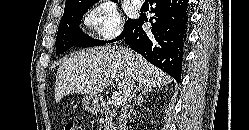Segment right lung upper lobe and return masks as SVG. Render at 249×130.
<instances>
[{
    "label": "right lung upper lobe",
    "instance_id": "right-lung-upper-lobe-1",
    "mask_svg": "<svg viewBox=\"0 0 249 130\" xmlns=\"http://www.w3.org/2000/svg\"><path fill=\"white\" fill-rule=\"evenodd\" d=\"M96 2H98V0H66L65 7L82 8L93 5ZM114 2H117V0H114Z\"/></svg>",
    "mask_w": 249,
    "mask_h": 130
}]
</instances>
